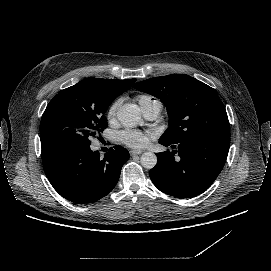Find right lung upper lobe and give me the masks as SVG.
Segmentation results:
<instances>
[{
    "instance_id": "obj_1",
    "label": "right lung upper lobe",
    "mask_w": 271,
    "mask_h": 271,
    "mask_svg": "<svg viewBox=\"0 0 271 271\" xmlns=\"http://www.w3.org/2000/svg\"><path fill=\"white\" fill-rule=\"evenodd\" d=\"M136 79L116 80L87 78L68 90L79 93L91 105H110L125 90L130 88Z\"/></svg>"
}]
</instances>
